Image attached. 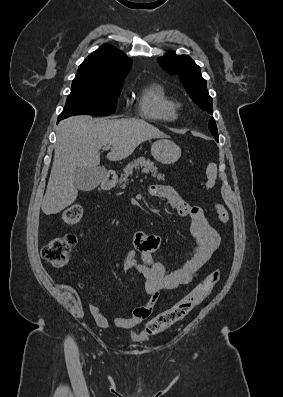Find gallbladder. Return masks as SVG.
<instances>
[{
	"label": "gallbladder",
	"mask_w": 283,
	"mask_h": 397,
	"mask_svg": "<svg viewBox=\"0 0 283 397\" xmlns=\"http://www.w3.org/2000/svg\"><path fill=\"white\" fill-rule=\"evenodd\" d=\"M103 168L79 167L73 174L75 186L82 191L94 190L102 181Z\"/></svg>",
	"instance_id": "obj_1"
}]
</instances>
